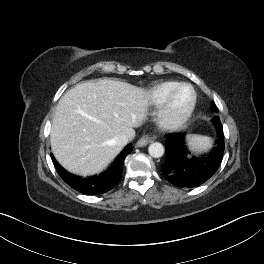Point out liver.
Here are the masks:
<instances>
[{
  "mask_svg": "<svg viewBox=\"0 0 264 264\" xmlns=\"http://www.w3.org/2000/svg\"><path fill=\"white\" fill-rule=\"evenodd\" d=\"M149 106L148 93L131 84L101 79L77 84L59 100L50 142L56 160L68 171L92 174L121 152L120 135L135 136Z\"/></svg>",
  "mask_w": 264,
  "mask_h": 264,
  "instance_id": "obj_1",
  "label": "liver"
}]
</instances>
